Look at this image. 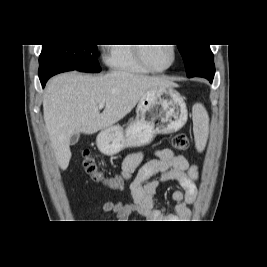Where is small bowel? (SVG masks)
I'll list each match as a JSON object with an SVG mask.
<instances>
[{"instance_id": "obj_1", "label": "small bowel", "mask_w": 267, "mask_h": 267, "mask_svg": "<svg viewBox=\"0 0 267 267\" xmlns=\"http://www.w3.org/2000/svg\"><path fill=\"white\" fill-rule=\"evenodd\" d=\"M154 155L156 159L144 164L142 152L132 153L124 159L118 177H124L129 184L130 200L127 203L105 202L102 205L104 212L115 214L119 222H126L132 213H138L153 222H177L191 217V206L196 200L198 168L190 165L184 156L167 148L154 151ZM169 181H176L180 185V189L172 193L174 213H166L155 204L158 186Z\"/></svg>"}]
</instances>
